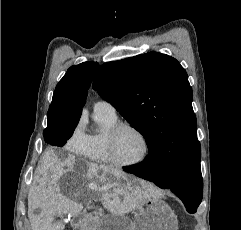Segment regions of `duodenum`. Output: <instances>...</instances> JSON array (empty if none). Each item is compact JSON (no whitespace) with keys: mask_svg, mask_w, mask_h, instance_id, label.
Listing matches in <instances>:
<instances>
[{"mask_svg":"<svg viewBox=\"0 0 241 230\" xmlns=\"http://www.w3.org/2000/svg\"><path fill=\"white\" fill-rule=\"evenodd\" d=\"M85 219L86 217L84 215H75L71 221L72 227L78 228Z\"/></svg>","mask_w":241,"mask_h":230,"instance_id":"410a0bca","label":"duodenum"}]
</instances>
